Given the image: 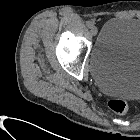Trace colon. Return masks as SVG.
<instances>
[{
  "label": "colon",
  "instance_id": "5ec220e1",
  "mask_svg": "<svg viewBox=\"0 0 140 140\" xmlns=\"http://www.w3.org/2000/svg\"><path fill=\"white\" fill-rule=\"evenodd\" d=\"M109 108L118 114H124L128 110V104L125 100L120 98H112L108 101Z\"/></svg>",
  "mask_w": 140,
  "mask_h": 140
}]
</instances>
